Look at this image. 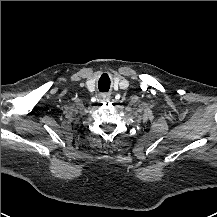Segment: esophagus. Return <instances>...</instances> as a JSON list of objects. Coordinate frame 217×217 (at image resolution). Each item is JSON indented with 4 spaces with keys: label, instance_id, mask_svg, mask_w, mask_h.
<instances>
[{
    "label": "esophagus",
    "instance_id": "1",
    "mask_svg": "<svg viewBox=\"0 0 217 217\" xmlns=\"http://www.w3.org/2000/svg\"><path fill=\"white\" fill-rule=\"evenodd\" d=\"M100 102H108L110 101V95L109 94H102L99 97Z\"/></svg>",
    "mask_w": 217,
    "mask_h": 217
}]
</instances>
